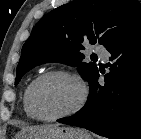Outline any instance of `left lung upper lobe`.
Instances as JSON below:
<instances>
[{
    "label": "left lung upper lobe",
    "mask_w": 141,
    "mask_h": 139,
    "mask_svg": "<svg viewBox=\"0 0 141 139\" xmlns=\"http://www.w3.org/2000/svg\"><path fill=\"white\" fill-rule=\"evenodd\" d=\"M141 23L138 0H74L44 16L23 45L15 85L37 65L48 62L78 67L88 82L98 70L83 61V42L107 47Z\"/></svg>",
    "instance_id": "5c2ea615"
}]
</instances>
